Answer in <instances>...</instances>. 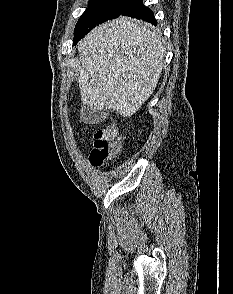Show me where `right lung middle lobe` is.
I'll use <instances>...</instances> for the list:
<instances>
[{
    "label": "right lung middle lobe",
    "instance_id": "right-lung-middle-lobe-1",
    "mask_svg": "<svg viewBox=\"0 0 233 294\" xmlns=\"http://www.w3.org/2000/svg\"><path fill=\"white\" fill-rule=\"evenodd\" d=\"M131 0H89V7L78 20L74 38L107 20L119 17Z\"/></svg>",
    "mask_w": 233,
    "mask_h": 294
}]
</instances>
